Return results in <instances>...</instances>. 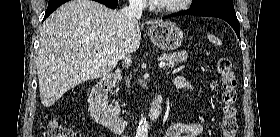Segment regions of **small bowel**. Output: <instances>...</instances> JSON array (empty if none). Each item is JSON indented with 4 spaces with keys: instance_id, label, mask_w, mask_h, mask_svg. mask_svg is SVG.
<instances>
[{
    "instance_id": "small-bowel-1",
    "label": "small bowel",
    "mask_w": 280,
    "mask_h": 137,
    "mask_svg": "<svg viewBox=\"0 0 280 137\" xmlns=\"http://www.w3.org/2000/svg\"><path fill=\"white\" fill-rule=\"evenodd\" d=\"M175 85L182 89H191L190 83L183 77L177 78ZM199 130L197 125L176 122L167 128L164 137H195Z\"/></svg>"
}]
</instances>
